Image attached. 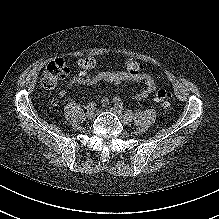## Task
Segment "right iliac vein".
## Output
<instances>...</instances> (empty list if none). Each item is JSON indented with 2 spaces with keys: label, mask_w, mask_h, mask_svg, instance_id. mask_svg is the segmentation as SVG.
I'll use <instances>...</instances> for the list:
<instances>
[{
  "label": "right iliac vein",
  "mask_w": 219,
  "mask_h": 219,
  "mask_svg": "<svg viewBox=\"0 0 219 219\" xmlns=\"http://www.w3.org/2000/svg\"><path fill=\"white\" fill-rule=\"evenodd\" d=\"M95 117H96L95 111L89 110V111L87 112V118H88V119H94Z\"/></svg>",
  "instance_id": "right-iliac-vein-1"
}]
</instances>
